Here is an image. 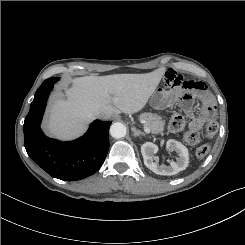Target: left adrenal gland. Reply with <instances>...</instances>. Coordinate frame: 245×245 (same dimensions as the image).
<instances>
[{
    "mask_svg": "<svg viewBox=\"0 0 245 245\" xmlns=\"http://www.w3.org/2000/svg\"><path fill=\"white\" fill-rule=\"evenodd\" d=\"M132 132H133V136L134 137H139L140 135L145 136L146 134L138 129H136L135 127L131 128Z\"/></svg>",
    "mask_w": 245,
    "mask_h": 245,
    "instance_id": "a2214340",
    "label": "left adrenal gland"
}]
</instances>
